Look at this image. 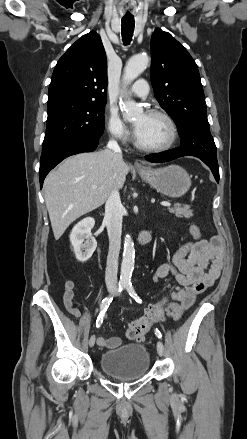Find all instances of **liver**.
Returning <instances> with one entry per match:
<instances>
[{"instance_id": "1", "label": "liver", "mask_w": 247, "mask_h": 439, "mask_svg": "<svg viewBox=\"0 0 247 439\" xmlns=\"http://www.w3.org/2000/svg\"><path fill=\"white\" fill-rule=\"evenodd\" d=\"M129 169L106 149L71 156L52 171L43 188L55 239L77 218L103 205L113 188H122Z\"/></svg>"}]
</instances>
